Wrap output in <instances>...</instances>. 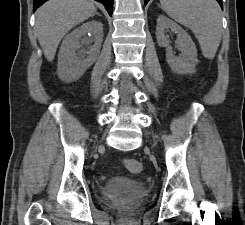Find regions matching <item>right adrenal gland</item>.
Instances as JSON below:
<instances>
[{"mask_svg": "<svg viewBox=\"0 0 245 225\" xmlns=\"http://www.w3.org/2000/svg\"><path fill=\"white\" fill-rule=\"evenodd\" d=\"M98 16H101V14L97 13Z\"/></svg>", "mask_w": 245, "mask_h": 225, "instance_id": "right-adrenal-gland-1", "label": "right adrenal gland"}]
</instances>
